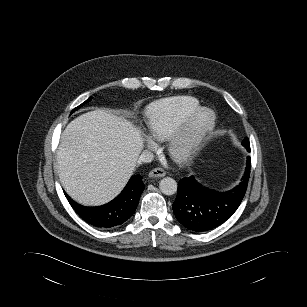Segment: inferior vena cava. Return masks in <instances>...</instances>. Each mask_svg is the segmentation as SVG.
<instances>
[{"label": "inferior vena cava", "mask_w": 307, "mask_h": 307, "mask_svg": "<svg viewBox=\"0 0 307 307\" xmlns=\"http://www.w3.org/2000/svg\"><path fill=\"white\" fill-rule=\"evenodd\" d=\"M154 159V154L151 151L144 150L139 156V163H150Z\"/></svg>", "instance_id": "1"}]
</instances>
